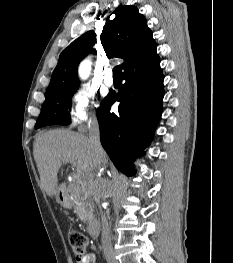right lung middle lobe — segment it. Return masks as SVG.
Masks as SVG:
<instances>
[{"label":"right lung middle lobe","instance_id":"obj_1","mask_svg":"<svg viewBox=\"0 0 233 263\" xmlns=\"http://www.w3.org/2000/svg\"><path fill=\"white\" fill-rule=\"evenodd\" d=\"M75 90L76 89L62 90L46 96L35 128L37 129L50 124H69L70 115L68 113V105Z\"/></svg>","mask_w":233,"mask_h":263}]
</instances>
